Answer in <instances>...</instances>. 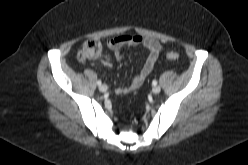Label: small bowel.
<instances>
[{
    "instance_id": "1",
    "label": "small bowel",
    "mask_w": 248,
    "mask_h": 165,
    "mask_svg": "<svg viewBox=\"0 0 248 165\" xmlns=\"http://www.w3.org/2000/svg\"><path fill=\"white\" fill-rule=\"evenodd\" d=\"M106 46L112 50L116 59L124 58L123 49L127 46H142L148 50V56L139 73L126 86H121L117 89L118 94H126L131 90L139 88L145 79L152 72L153 67L161 52V44L151 38H145L140 35L123 34L106 42Z\"/></svg>"
}]
</instances>
